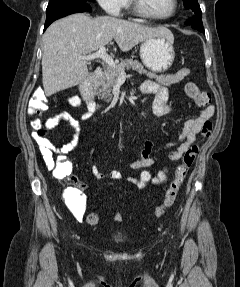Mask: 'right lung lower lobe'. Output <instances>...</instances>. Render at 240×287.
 <instances>
[{"instance_id": "right-lung-lower-lobe-1", "label": "right lung lower lobe", "mask_w": 240, "mask_h": 287, "mask_svg": "<svg viewBox=\"0 0 240 287\" xmlns=\"http://www.w3.org/2000/svg\"><path fill=\"white\" fill-rule=\"evenodd\" d=\"M84 11H92L90 5L88 3L82 4H74V5H67L58 8H54L46 13V22L44 26V30L55 20L65 17L69 14L79 13Z\"/></svg>"}]
</instances>
